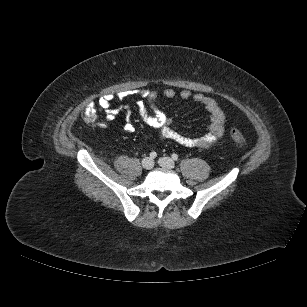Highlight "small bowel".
I'll use <instances>...</instances> for the list:
<instances>
[{
    "label": "small bowel",
    "instance_id": "c3829d8e",
    "mask_svg": "<svg viewBox=\"0 0 307 307\" xmlns=\"http://www.w3.org/2000/svg\"><path fill=\"white\" fill-rule=\"evenodd\" d=\"M166 98H174L176 92L173 89H166L163 92ZM141 99L136 103L142 120L150 127L155 129L158 134L166 139H170L185 147H196L207 149L213 146L224 134L225 116L217 102L203 94H192L189 90H182L179 96L183 100L193 99L209 114L210 123L207 131L199 137L192 138L179 133L172 127V119L156 106L158 93L153 90H143L139 93ZM112 95H105L98 99L99 107L105 113V122H100L99 127L105 128L107 122H113L119 112L124 111L127 114V121L123 125L124 131L132 133L135 131L129 116L130 111L125 108H112Z\"/></svg>",
    "mask_w": 307,
    "mask_h": 307
}]
</instances>
